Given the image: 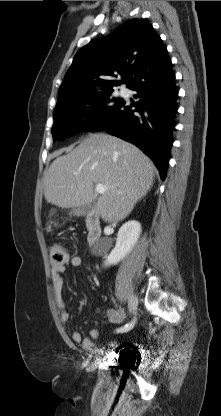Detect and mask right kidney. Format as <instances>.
Masks as SVG:
<instances>
[{
    "mask_svg": "<svg viewBox=\"0 0 221 416\" xmlns=\"http://www.w3.org/2000/svg\"><path fill=\"white\" fill-rule=\"evenodd\" d=\"M141 233V224L136 220L124 223L118 231L116 245L107 256L105 266L116 265L130 253Z\"/></svg>",
    "mask_w": 221,
    "mask_h": 416,
    "instance_id": "1",
    "label": "right kidney"
}]
</instances>
